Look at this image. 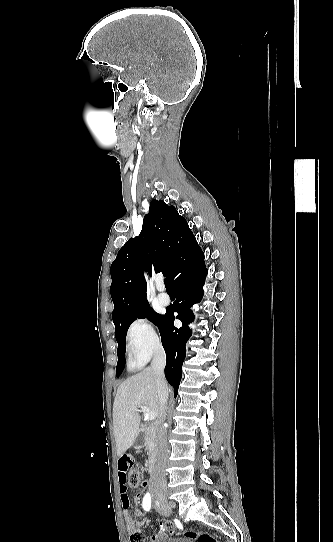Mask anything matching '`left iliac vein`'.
Masks as SVG:
<instances>
[{
  "label": "left iliac vein",
  "instance_id": "obj_1",
  "mask_svg": "<svg viewBox=\"0 0 333 542\" xmlns=\"http://www.w3.org/2000/svg\"><path fill=\"white\" fill-rule=\"evenodd\" d=\"M172 512V509L169 504H166V506H163L160 508V513L164 516H169Z\"/></svg>",
  "mask_w": 333,
  "mask_h": 542
}]
</instances>
